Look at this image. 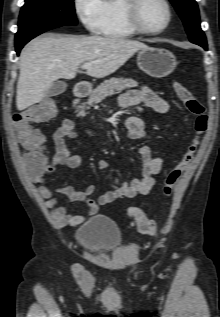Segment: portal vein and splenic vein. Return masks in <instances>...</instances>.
<instances>
[{
  "label": "portal vein and splenic vein",
  "instance_id": "portal-vein-and-splenic-vein-1",
  "mask_svg": "<svg viewBox=\"0 0 220 317\" xmlns=\"http://www.w3.org/2000/svg\"><path fill=\"white\" fill-rule=\"evenodd\" d=\"M93 63H84L81 68L82 69H89L92 66Z\"/></svg>",
  "mask_w": 220,
  "mask_h": 317
}]
</instances>
